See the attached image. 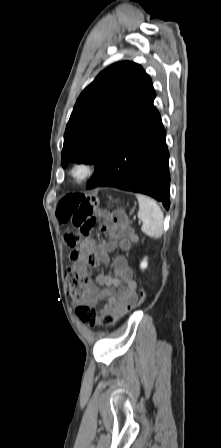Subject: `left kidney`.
<instances>
[{
	"label": "left kidney",
	"mask_w": 221,
	"mask_h": 448,
	"mask_svg": "<svg viewBox=\"0 0 221 448\" xmlns=\"http://www.w3.org/2000/svg\"><path fill=\"white\" fill-rule=\"evenodd\" d=\"M147 266H148V262H147V258L145 257V258L142 260L140 267H141V269L143 270V269L147 268Z\"/></svg>",
	"instance_id": "5707ae66"
}]
</instances>
